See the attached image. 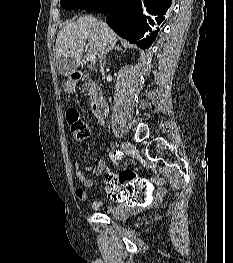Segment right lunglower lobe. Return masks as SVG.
Masks as SVG:
<instances>
[{"label": "right lung lower lobe", "mask_w": 233, "mask_h": 263, "mask_svg": "<svg viewBox=\"0 0 233 263\" xmlns=\"http://www.w3.org/2000/svg\"><path fill=\"white\" fill-rule=\"evenodd\" d=\"M170 5L171 0H102L93 11L108 14L106 21L119 36L145 49L159 31L149 24L160 25Z\"/></svg>", "instance_id": "obj_1"}]
</instances>
